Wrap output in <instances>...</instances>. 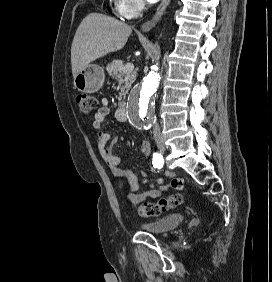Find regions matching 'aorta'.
Here are the masks:
<instances>
[{"instance_id": "762f6f07", "label": "aorta", "mask_w": 272, "mask_h": 282, "mask_svg": "<svg viewBox=\"0 0 272 282\" xmlns=\"http://www.w3.org/2000/svg\"><path fill=\"white\" fill-rule=\"evenodd\" d=\"M160 82V75L155 67L154 70L132 90L128 111L130 121L133 124L147 128L154 118V95Z\"/></svg>"}]
</instances>
